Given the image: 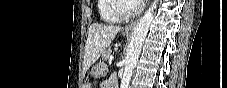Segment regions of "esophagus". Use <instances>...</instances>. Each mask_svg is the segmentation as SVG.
Wrapping results in <instances>:
<instances>
[{
    "label": "esophagus",
    "instance_id": "esophagus-1",
    "mask_svg": "<svg viewBox=\"0 0 227 88\" xmlns=\"http://www.w3.org/2000/svg\"><path fill=\"white\" fill-rule=\"evenodd\" d=\"M135 26H136V21H133V22H131L130 24H128V25H126L124 28H123V30H125V31H133V29L135 28Z\"/></svg>",
    "mask_w": 227,
    "mask_h": 88
}]
</instances>
